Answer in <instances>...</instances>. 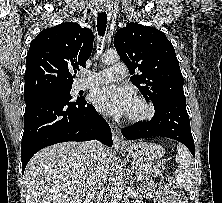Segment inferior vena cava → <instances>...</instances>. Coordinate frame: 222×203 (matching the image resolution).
<instances>
[{"mask_svg":"<svg viewBox=\"0 0 222 203\" xmlns=\"http://www.w3.org/2000/svg\"><path fill=\"white\" fill-rule=\"evenodd\" d=\"M100 144L97 141L86 143V152L90 161L94 164V172L89 181V192L93 199L100 203L105 183L107 181V167L100 156Z\"/></svg>","mask_w":222,"mask_h":203,"instance_id":"1","label":"inferior vena cava"}]
</instances>
